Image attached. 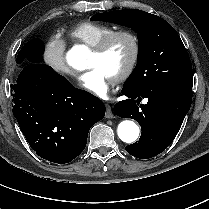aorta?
I'll list each match as a JSON object with an SVG mask.
<instances>
[{
	"mask_svg": "<svg viewBox=\"0 0 209 209\" xmlns=\"http://www.w3.org/2000/svg\"><path fill=\"white\" fill-rule=\"evenodd\" d=\"M88 48L85 45H75L66 54L67 63L76 70H85L88 67ZM119 138L126 143H133L139 136L138 125L131 120H124L117 128Z\"/></svg>",
	"mask_w": 209,
	"mask_h": 209,
	"instance_id": "762f6f07",
	"label": "aorta"
}]
</instances>
